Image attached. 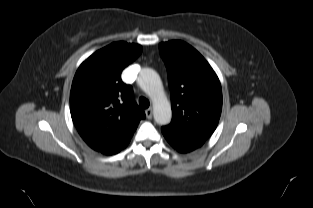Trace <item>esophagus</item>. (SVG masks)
Returning <instances> with one entry per match:
<instances>
[{
  "instance_id": "1",
  "label": "esophagus",
  "mask_w": 313,
  "mask_h": 208,
  "mask_svg": "<svg viewBox=\"0 0 313 208\" xmlns=\"http://www.w3.org/2000/svg\"><path fill=\"white\" fill-rule=\"evenodd\" d=\"M145 114H146V117L148 119H151L152 118V115H153V110L152 108H148L146 111H145Z\"/></svg>"
}]
</instances>
